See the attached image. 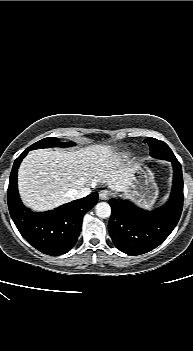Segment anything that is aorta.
Instances as JSON below:
<instances>
[{
  "label": "aorta",
  "mask_w": 193,
  "mask_h": 351,
  "mask_svg": "<svg viewBox=\"0 0 193 351\" xmlns=\"http://www.w3.org/2000/svg\"><path fill=\"white\" fill-rule=\"evenodd\" d=\"M95 212L99 218H108L111 215V207L106 202H100L95 206Z\"/></svg>",
  "instance_id": "1"
}]
</instances>
